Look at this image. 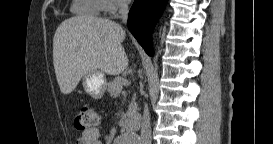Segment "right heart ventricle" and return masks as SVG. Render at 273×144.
Returning <instances> with one entry per match:
<instances>
[{
	"mask_svg": "<svg viewBox=\"0 0 273 144\" xmlns=\"http://www.w3.org/2000/svg\"><path fill=\"white\" fill-rule=\"evenodd\" d=\"M101 8L100 0H75L72 4V10L84 16H96L100 13Z\"/></svg>",
	"mask_w": 273,
	"mask_h": 144,
	"instance_id": "right-heart-ventricle-1",
	"label": "right heart ventricle"
}]
</instances>
